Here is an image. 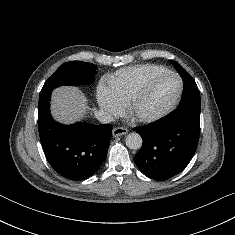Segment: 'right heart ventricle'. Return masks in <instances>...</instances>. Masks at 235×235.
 <instances>
[{"instance_id": "1", "label": "right heart ventricle", "mask_w": 235, "mask_h": 235, "mask_svg": "<svg viewBox=\"0 0 235 235\" xmlns=\"http://www.w3.org/2000/svg\"><path fill=\"white\" fill-rule=\"evenodd\" d=\"M163 71L167 69L156 64H138L122 68L107 77L106 88L121 106H127L150 76Z\"/></svg>"}]
</instances>
